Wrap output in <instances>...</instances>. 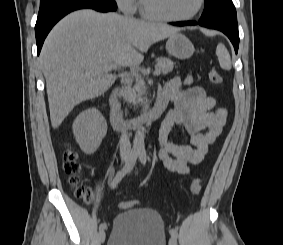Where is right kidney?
<instances>
[{
	"label": "right kidney",
	"instance_id": "ca27d5eb",
	"mask_svg": "<svg viewBox=\"0 0 283 245\" xmlns=\"http://www.w3.org/2000/svg\"><path fill=\"white\" fill-rule=\"evenodd\" d=\"M73 133L81 150L93 154L107 133L106 120L96 108H89L75 119Z\"/></svg>",
	"mask_w": 283,
	"mask_h": 245
}]
</instances>
